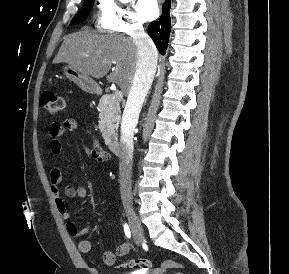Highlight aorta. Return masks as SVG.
<instances>
[{
	"mask_svg": "<svg viewBox=\"0 0 289 274\" xmlns=\"http://www.w3.org/2000/svg\"><path fill=\"white\" fill-rule=\"evenodd\" d=\"M120 1H122V2H126V1H128V0H120Z\"/></svg>",
	"mask_w": 289,
	"mask_h": 274,
	"instance_id": "obj_1",
	"label": "aorta"
}]
</instances>
